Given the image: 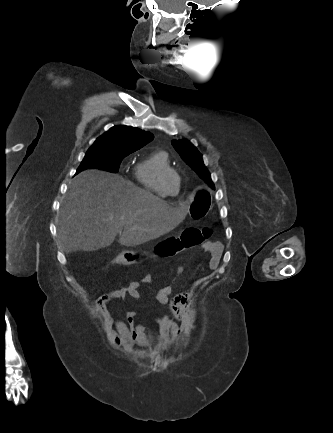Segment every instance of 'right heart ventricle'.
<instances>
[{
  "instance_id": "1",
  "label": "right heart ventricle",
  "mask_w": 333,
  "mask_h": 433,
  "mask_svg": "<svg viewBox=\"0 0 333 433\" xmlns=\"http://www.w3.org/2000/svg\"><path fill=\"white\" fill-rule=\"evenodd\" d=\"M170 167L168 154L165 151L157 150L135 165L134 176L138 184L148 192L159 197H166L168 195L163 191L159 177L164 169ZM179 192L180 179L177 181V190L171 197L177 196Z\"/></svg>"
}]
</instances>
